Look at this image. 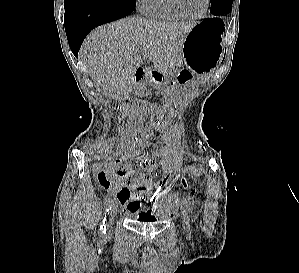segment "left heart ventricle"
Here are the masks:
<instances>
[{
  "label": "left heart ventricle",
  "mask_w": 299,
  "mask_h": 273,
  "mask_svg": "<svg viewBox=\"0 0 299 273\" xmlns=\"http://www.w3.org/2000/svg\"><path fill=\"white\" fill-rule=\"evenodd\" d=\"M183 9L190 15H199L205 7V0H180Z\"/></svg>",
  "instance_id": "1"
}]
</instances>
